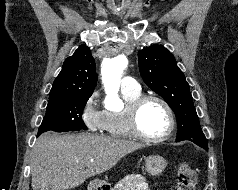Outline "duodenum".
<instances>
[{
    "label": "duodenum",
    "instance_id": "1",
    "mask_svg": "<svg viewBox=\"0 0 238 190\" xmlns=\"http://www.w3.org/2000/svg\"><path fill=\"white\" fill-rule=\"evenodd\" d=\"M91 190H105V188L100 183H92Z\"/></svg>",
    "mask_w": 238,
    "mask_h": 190
}]
</instances>
